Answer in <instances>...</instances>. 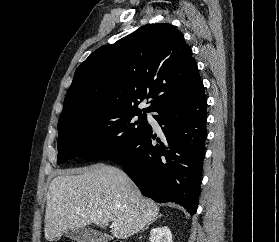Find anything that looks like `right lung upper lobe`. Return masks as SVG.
<instances>
[{"label": "right lung upper lobe", "mask_w": 279, "mask_h": 242, "mask_svg": "<svg viewBox=\"0 0 279 242\" xmlns=\"http://www.w3.org/2000/svg\"><path fill=\"white\" fill-rule=\"evenodd\" d=\"M203 86L191 48L168 23L152 24L94 51L76 69L58 124L110 116L153 99V112Z\"/></svg>", "instance_id": "obj_1"}]
</instances>
